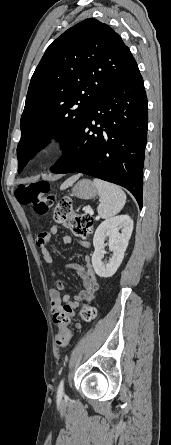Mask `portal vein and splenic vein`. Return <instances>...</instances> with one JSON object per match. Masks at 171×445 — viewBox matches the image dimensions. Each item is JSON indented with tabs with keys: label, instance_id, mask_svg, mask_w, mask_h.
<instances>
[{
	"label": "portal vein and splenic vein",
	"instance_id": "obj_1",
	"mask_svg": "<svg viewBox=\"0 0 171 445\" xmlns=\"http://www.w3.org/2000/svg\"><path fill=\"white\" fill-rule=\"evenodd\" d=\"M86 213H89L92 215V214H94V211L92 209L88 208V209H86Z\"/></svg>",
	"mask_w": 171,
	"mask_h": 445
}]
</instances>
